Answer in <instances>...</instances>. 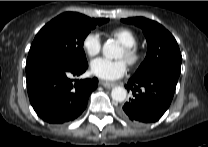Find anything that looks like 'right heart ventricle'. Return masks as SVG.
<instances>
[{
  "instance_id": "e07e8e85",
  "label": "right heart ventricle",
  "mask_w": 208,
  "mask_h": 147,
  "mask_svg": "<svg viewBox=\"0 0 208 147\" xmlns=\"http://www.w3.org/2000/svg\"><path fill=\"white\" fill-rule=\"evenodd\" d=\"M112 35L117 38L124 46L136 45L137 37L135 33L128 28H117L112 31Z\"/></svg>"
}]
</instances>
